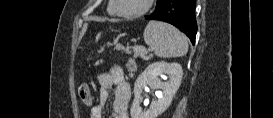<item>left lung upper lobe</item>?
I'll return each instance as SVG.
<instances>
[{
	"mask_svg": "<svg viewBox=\"0 0 273 118\" xmlns=\"http://www.w3.org/2000/svg\"><path fill=\"white\" fill-rule=\"evenodd\" d=\"M160 2H161V0H157V5H156V7L159 5Z\"/></svg>",
	"mask_w": 273,
	"mask_h": 118,
	"instance_id": "left-lung-upper-lobe-1",
	"label": "left lung upper lobe"
}]
</instances>
